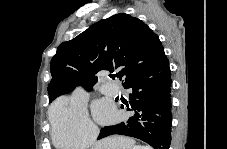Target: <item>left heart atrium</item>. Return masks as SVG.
Listing matches in <instances>:
<instances>
[{"instance_id": "1", "label": "left heart atrium", "mask_w": 227, "mask_h": 149, "mask_svg": "<svg viewBox=\"0 0 227 149\" xmlns=\"http://www.w3.org/2000/svg\"><path fill=\"white\" fill-rule=\"evenodd\" d=\"M94 114L98 121L106 123L114 118V110L111 104L99 101L94 106Z\"/></svg>"}]
</instances>
